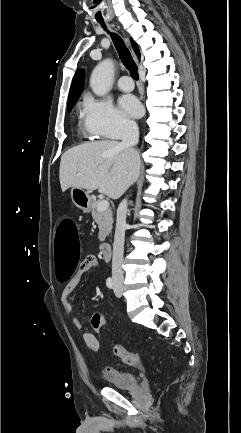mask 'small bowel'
<instances>
[{"label": "small bowel", "instance_id": "1", "mask_svg": "<svg viewBox=\"0 0 241 433\" xmlns=\"http://www.w3.org/2000/svg\"><path fill=\"white\" fill-rule=\"evenodd\" d=\"M98 266V261L95 256L89 255L87 256L79 265L77 271L73 275V277L68 281V283L64 286L62 293H61V303L64 308V310L67 313H71L73 311V304H72V295L77 289V287L80 285V283L83 281L86 274L89 272V270L93 267ZM102 321H101V327L106 324V318L102 314H100ZM93 317V316H92ZM73 325L77 329H83L84 325L81 319L75 317L72 320ZM83 340L86 344V346L92 350L97 351L99 349V341L97 337L90 332H85L83 334ZM110 373L115 372L113 369H109Z\"/></svg>", "mask_w": 241, "mask_h": 433}]
</instances>
